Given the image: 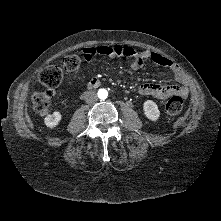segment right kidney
<instances>
[{"label":"right kidney","mask_w":221,"mask_h":221,"mask_svg":"<svg viewBox=\"0 0 221 221\" xmlns=\"http://www.w3.org/2000/svg\"><path fill=\"white\" fill-rule=\"evenodd\" d=\"M62 119V115L60 112H53L52 114H48L45 119H44V123L45 125L48 127V128H55L59 122L61 121Z\"/></svg>","instance_id":"right-kidney-1"}]
</instances>
